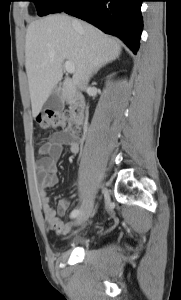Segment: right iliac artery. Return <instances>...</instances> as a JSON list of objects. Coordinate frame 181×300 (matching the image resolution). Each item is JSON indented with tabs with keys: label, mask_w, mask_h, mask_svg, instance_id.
<instances>
[{
	"label": "right iliac artery",
	"mask_w": 181,
	"mask_h": 300,
	"mask_svg": "<svg viewBox=\"0 0 181 300\" xmlns=\"http://www.w3.org/2000/svg\"><path fill=\"white\" fill-rule=\"evenodd\" d=\"M79 214H80V210L79 209H74L71 212L70 217L73 219V218H76Z\"/></svg>",
	"instance_id": "1"
}]
</instances>
